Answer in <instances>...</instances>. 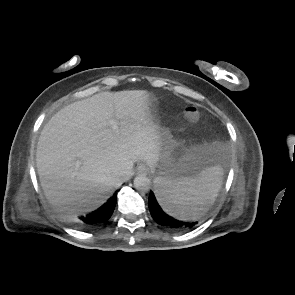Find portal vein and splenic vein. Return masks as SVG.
Wrapping results in <instances>:
<instances>
[{"label": "portal vein and splenic vein", "mask_w": 295, "mask_h": 295, "mask_svg": "<svg viewBox=\"0 0 295 295\" xmlns=\"http://www.w3.org/2000/svg\"><path fill=\"white\" fill-rule=\"evenodd\" d=\"M110 123L112 125V129L114 131H117L118 130V123H117V121L116 120H112Z\"/></svg>", "instance_id": "18ae733b"}]
</instances>
